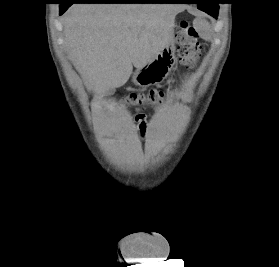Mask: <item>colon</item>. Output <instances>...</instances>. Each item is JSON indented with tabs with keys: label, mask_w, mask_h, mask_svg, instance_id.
<instances>
[{
	"label": "colon",
	"mask_w": 279,
	"mask_h": 267,
	"mask_svg": "<svg viewBox=\"0 0 279 267\" xmlns=\"http://www.w3.org/2000/svg\"><path fill=\"white\" fill-rule=\"evenodd\" d=\"M178 55L183 65L192 67L199 61L201 46L199 42V35L195 27L187 22L182 21L180 29L177 33ZM165 92L162 90L153 89L146 93L133 92L125 97V102L132 106L145 107V106H158ZM143 116L142 114L137 117Z\"/></svg>",
	"instance_id": "5ec220e1"
}]
</instances>
